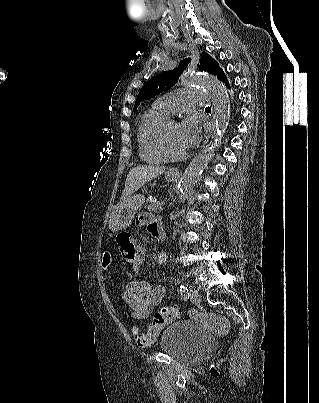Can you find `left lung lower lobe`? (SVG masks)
I'll use <instances>...</instances> for the list:
<instances>
[{
	"label": "left lung lower lobe",
	"instance_id": "obj_1",
	"mask_svg": "<svg viewBox=\"0 0 319 403\" xmlns=\"http://www.w3.org/2000/svg\"><path fill=\"white\" fill-rule=\"evenodd\" d=\"M218 79L221 80L222 82H224L227 87H229L228 80L223 71L219 74Z\"/></svg>",
	"mask_w": 319,
	"mask_h": 403
}]
</instances>
